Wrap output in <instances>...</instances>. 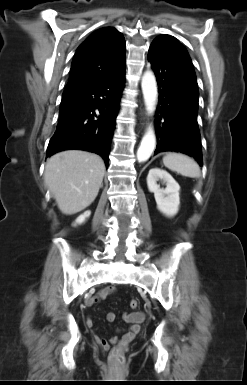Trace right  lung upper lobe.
Wrapping results in <instances>:
<instances>
[{
  "mask_svg": "<svg viewBox=\"0 0 247 385\" xmlns=\"http://www.w3.org/2000/svg\"><path fill=\"white\" fill-rule=\"evenodd\" d=\"M126 42L115 28L95 31L77 49L64 93H73L125 67Z\"/></svg>",
  "mask_w": 247,
  "mask_h": 385,
  "instance_id": "1",
  "label": "right lung upper lobe"
}]
</instances>
